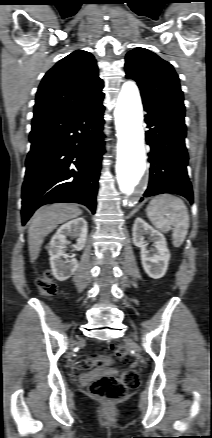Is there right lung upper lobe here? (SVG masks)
<instances>
[{"label":"right lung upper lobe","instance_id":"obj_1","mask_svg":"<svg viewBox=\"0 0 212 438\" xmlns=\"http://www.w3.org/2000/svg\"><path fill=\"white\" fill-rule=\"evenodd\" d=\"M103 86L93 55L75 51L43 77L36 95L34 118L96 105L104 98Z\"/></svg>","mask_w":212,"mask_h":438}]
</instances>
